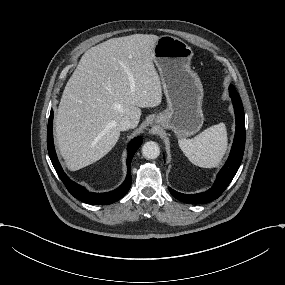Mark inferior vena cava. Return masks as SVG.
Returning <instances> with one entry per match:
<instances>
[{
  "instance_id": "602c4592",
  "label": "inferior vena cava",
  "mask_w": 285,
  "mask_h": 285,
  "mask_svg": "<svg viewBox=\"0 0 285 285\" xmlns=\"http://www.w3.org/2000/svg\"><path fill=\"white\" fill-rule=\"evenodd\" d=\"M117 128L119 131H125L130 128H133V123L128 117L122 118V120L118 123Z\"/></svg>"
}]
</instances>
